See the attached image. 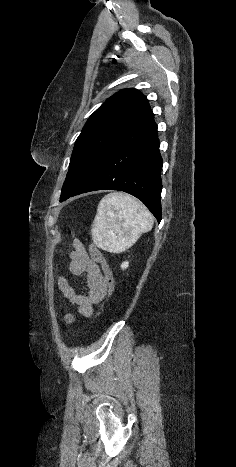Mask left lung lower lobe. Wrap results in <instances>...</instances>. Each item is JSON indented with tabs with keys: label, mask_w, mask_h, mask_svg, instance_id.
Returning <instances> with one entry per match:
<instances>
[{
	"label": "left lung lower lobe",
	"mask_w": 236,
	"mask_h": 467,
	"mask_svg": "<svg viewBox=\"0 0 236 467\" xmlns=\"http://www.w3.org/2000/svg\"><path fill=\"white\" fill-rule=\"evenodd\" d=\"M162 162L151 111L115 141L90 178L72 196L105 189L124 191L140 199L160 222Z\"/></svg>",
	"instance_id": "1"
}]
</instances>
